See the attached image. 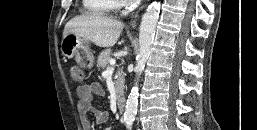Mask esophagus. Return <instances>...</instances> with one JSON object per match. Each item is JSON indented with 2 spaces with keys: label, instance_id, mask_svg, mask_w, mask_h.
Listing matches in <instances>:
<instances>
[{
  "label": "esophagus",
  "instance_id": "obj_1",
  "mask_svg": "<svg viewBox=\"0 0 257 130\" xmlns=\"http://www.w3.org/2000/svg\"><path fill=\"white\" fill-rule=\"evenodd\" d=\"M137 15H135V17H134V19L131 21V23H130V25L132 26V27H136V25H137Z\"/></svg>",
  "mask_w": 257,
  "mask_h": 130
}]
</instances>
